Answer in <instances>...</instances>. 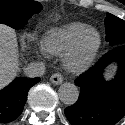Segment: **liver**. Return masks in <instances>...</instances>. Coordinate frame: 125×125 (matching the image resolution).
Here are the masks:
<instances>
[{
    "instance_id": "obj_1",
    "label": "liver",
    "mask_w": 125,
    "mask_h": 125,
    "mask_svg": "<svg viewBox=\"0 0 125 125\" xmlns=\"http://www.w3.org/2000/svg\"><path fill=\"white\" fill-rule=\"evenodd\" d=\"M18 70L19 55L15 30L0 24V89L17 75Z\"/></svg>"
}]
</instances>
